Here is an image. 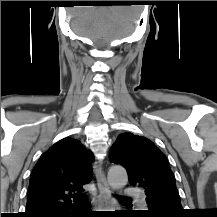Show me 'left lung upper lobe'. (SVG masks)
Returning a JSON list of instances; mask_svg holds the SVG:
<instances>
[{
    "label": "left lung upper lobe",
    "mask_w": 217,
    "mask_h": 217,
    "mask_svg": "<svg viewBox=\"0 0 217 217\" xmlns=\"http://www.w3.org/2000/svg\"><path fill=\"white\" fill-rule=\"evenodd\" d=\"M110 161L125 167L133 186L145 189L149 207L145 213L164 217L182 214L169 162L149 139L132 133L120 134L110 150Z\"/></svg>",
    "instance_id": "1"
}]
</instances>
